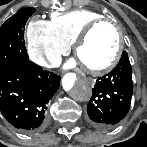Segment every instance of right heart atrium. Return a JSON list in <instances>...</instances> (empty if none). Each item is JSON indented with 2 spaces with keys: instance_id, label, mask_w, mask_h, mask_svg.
Instances as JSON below:
<instances>
[{
  "instance_id": "1",
  "label": "right heart atrium",
  "mask_w": 147,
  "mask_h": 147,
  "mask_svg": "<svg viewBox=\"0 0 147 147\" xmlns=\"http://www.w3.org/2000/svg\"><path fill=\"white\" fill-rule=\"evenodd\" d=\"M28 54L36 64L55 66L68 46L60 42L51 31L50 22L32 19L27 28Z\"/></svg>"
}]
</instances>
